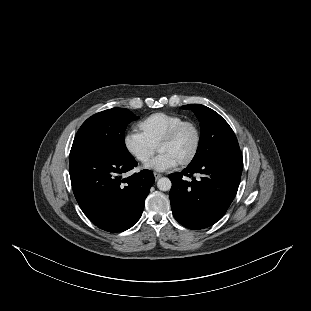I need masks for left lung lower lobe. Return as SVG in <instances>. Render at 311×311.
<instances>
[{"label": "left lung lower lobe", "instance_id": "left-lung-lower-lobe-1", "mask_svg": "<svg viewBox=\"0 0 311 311\" xmlns=\"http://www.w3.org/2000/svg\"><path fill=\"white\" fill-rule=\"evenodd\" d=\"M242 169L241 151H230L170 174L169 196L175 219L193 230L216 223L237 193ZM195 173L201 174V179L196 180ZM184 176L192 177V181H186Z\"/></svg>", "mask_w": 311, "mask_h": 311}]
</instances>
